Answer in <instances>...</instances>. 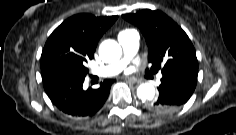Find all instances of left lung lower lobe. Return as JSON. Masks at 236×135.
Listing matches in <instances>:
<instances>
[{"label":"left lung lower lobe","mask_w":236,"mask_h":135,"mask_svg":"<svg viewBox=\"0 0 236 135\" xmlns=\"http://www.w3.org/2000/svg\"><path fill=\"white\" fill-rule=\"evenodd\" d=\"M198 76V67L176 69L163 73L159 97L150 103L157 112H171L184 105L192 96Z\"/></svg>","instance_id":"obj_1"}]
</instances>
